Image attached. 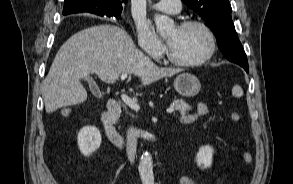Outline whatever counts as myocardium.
<instances>
[{
  "mask_svg": "<svg viewBox=\"0 0 293 184\" xmlns=\"http://www.w3.org/2000/svg\"><path fill=\"white\" fill-rule=\"evenodd\" d=\"M191 27H197L204 31V33L207 35L209 40V46L207 52L200 58L196 60H181L177 58L170 50V47L167 48V58L170 62L173 64H176L178 66H184V67H194L199 66L205 62H207L216 52L217 49V40L214 32L212 29L204 22L197 21V20H189L181 22L178 25V28L180 29H186Z\"/></svg>",
  "mask_w": 293,
  "mask_h": 184,
  "instance_id": "myocardium-1",
  "label": "myocardium"
}]
</instances>
